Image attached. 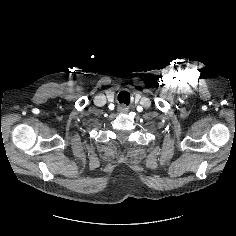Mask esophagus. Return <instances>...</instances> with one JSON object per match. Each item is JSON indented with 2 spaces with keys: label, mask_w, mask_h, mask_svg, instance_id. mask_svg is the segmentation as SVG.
<instances>
[{
  "label": "esophagus",
  "mask_w": 236,
  "mask_h": 236,
  "mask_svg": "<svg viewBox=\"0 0 236 236\" xmlns=\"http://www.w3.org/2000/svg\"><path fill=\"white\" fill-rule=\"evenodd\" d=\"M119 111L120 112H125V111H127V108L125 106H120Z\"/></svg>",
  "instance_id": "obj_1"
}]
</instances>
